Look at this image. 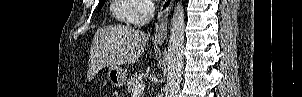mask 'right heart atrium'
I'll use <instances>...</instances> for the list:
<instances>
[{"label": "right heart atrium", "mask_w": 302, "mask_h": 97, "mask_svg": "<svg viewBox=\"0 0 302 97\" xmlns=\"http://www.w3.org/2000/svg\"><path fill=\"white\" fill-rule=\"evenodd\" d=\"M136 5L133 22L135 24H144L151 18L152 4L147 0H137Z\"/></svg>", "instance_id": "d8ad5b80"}]
</instances>
